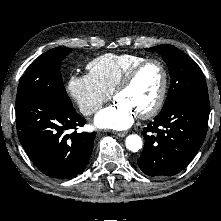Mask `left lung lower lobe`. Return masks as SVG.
Listing matches in <instances>:
<instances>
[{
    "label": "left lung lower lobe",
    "instance_id": "obj_1",
    "mask_svg": "<svg viewBox=\"0 0 221 221\" xmlns=\"http://www.w3.org/2000/svg\"><path fill=\"white\" fill-rule=\"evenodd\" d=\"M208 93L184 98L160 112L144 128L146 145L138 159L149 176H172L184 169L200 149L209 118Z\"/></svg>",
    "mask_w": 221,
    "mask_h": 221
}]
</instances>
